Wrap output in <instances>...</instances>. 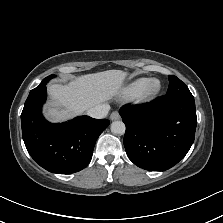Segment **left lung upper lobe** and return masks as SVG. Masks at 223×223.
I'll list each match as a JSON object with an SVG mask.
<instances>
[{
    "label": "left lung upper lobe",
    "instance_id": "1",
    "mask_svg": "<svg viewBox=\"0 0 223 223\" xmlns=\"http://www.w3.org/2000/svg\"><path fill=\"white\" fill-rule=\"evenodd\" d=\"M168 79H169V87L166 94L192 96L186 84L182 82L179 78H177L174 75H169Z\"/></svg>",
    "mask_w": 223,
    "mask_h": 223
}]
</instances>
